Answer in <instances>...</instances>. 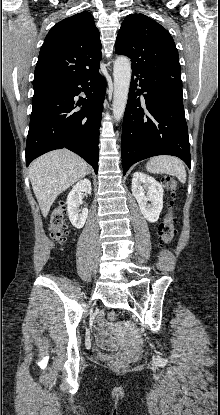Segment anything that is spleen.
Returning <instances> with one entry per match:
<instances>
[{
    "label": "spleen",
    "mask_w": 220,
    "mask_h": 415,
    "mask_svg": "<svg viewBox=\"0 0 220 415\" xmlns=\"http://www.w3.org/2000/svg\"><path fill=\"white\" fill-rule=\"evenodd\" d=\"M146 169L154 174H168L175 176L181 183L186 182V170L183 162L177 157L156 156L146 164Z\"/></svg>",
    "instance_id": "spleen-1"
}]
</instances>
